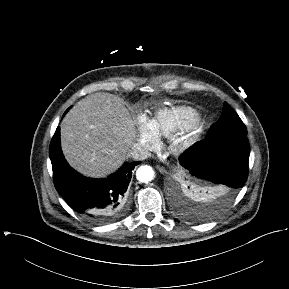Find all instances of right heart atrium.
Here are the masks:
<instances>
[{
	"label": "right heart atrium",
	"mask_w": 289,
	"mask_h": 289,
	"mask_svg": "<svg viewBox=\"0 0 289 289\" xmlns=\"http://www.w3.org/2000/svg\"><path fill=\"white\" fill-rule=\"evenodd\" d=\"M135 141L136 145L146 153L156 150L159 146V140L151 129L150 121L144 115L136 118Z\"/></svg>",
	"instance_id": "d8ad5b80"
}]
</instances>
